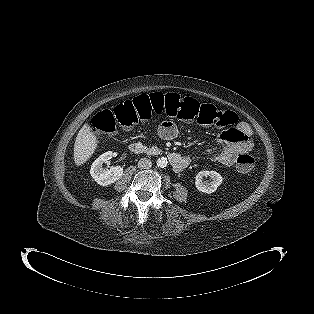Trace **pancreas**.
Instances as JSON below:
<instances>
[{
    "label": "pancreas",
    "mask_w": 314,
    "mask_h": 314,
    "mask_svg": "<svg viewBox=\"0 0 314 314\" xmlns=\"http://www.w3.org/2000/svg\"><path fill=\"white\" fill-rule=\"evenodd\" d=\"M162 152L161 149H159L157 146H151L149 148V153L151 154H160Z\"/></svg>",
    "instance_id": "obj_1"
}]
</instances>
